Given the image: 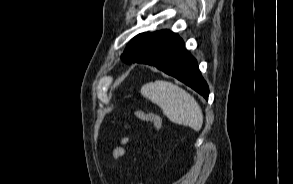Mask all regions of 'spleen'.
<instances>
[{"mask_svg":"<svg viewBox=\"0 0 293 184\" xmlns=\"http://www.w3.org/2000/svg\"><path fill=\"white\" fill-rule=\"evenodd\" d=\"M141 94L157 104L173 123L189 126L199 131L203 125V113L195 100L187 91L172 82L156 80L145 84Z\"/></svg>","mask_w":293,"mask_h":184,"instance_id":"1","label":"spleen"}]
</instances>
